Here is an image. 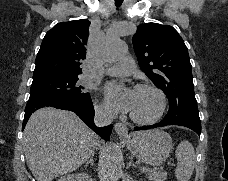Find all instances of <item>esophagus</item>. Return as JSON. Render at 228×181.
<instances>
[{
	"label": "esophagus",
	"mask_w": 228,
	"mask_h": 181,
	"mask_svg": "<svg viewBox=\"0 0 228 181\" xmlns=\"http://www.w3.org/2000/svg\"><path fill=\"white\" fill-rule=\"evenodd\" d=\"M115 131L119 137H127L129 135L128 128L123 123H116Z\"/></svg>",
	"instance_id": "obj_1"
}]
</instances>
